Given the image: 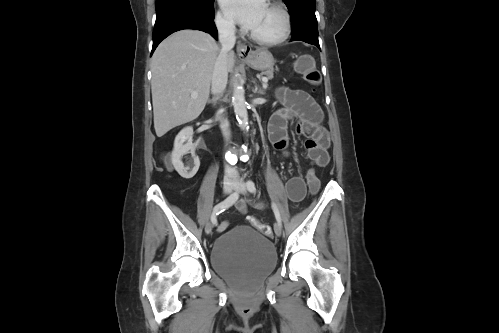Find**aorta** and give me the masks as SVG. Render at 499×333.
Returning <instances> with one entry per match:
<instances>
[{"mask_svg": "<svg viewBox=\"0 0 499 333\" xmlns=\"http://www.w3.org/2000/svg\"><path fill=\"white\" fill-rule=\"evenodd\" d=\"M232 103L240 127L243 130L248 129V112L245 101V92L243 87L238 83L234 85Z\"/></svg>", "mask_w": 499, "mask_h": 333, "instance_id": "aorta-1", "label": "aorta"}]
</instances>
